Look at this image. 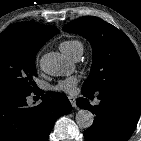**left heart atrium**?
Masks as SVG:
<instances>
[{"label":"left heart atrium","mask_w":141,"mask_h":141,"mask_svg":"<svg viewBox=\"0 0 141 141\" xmlns=\"http://www.w3.org/2000/svg\"><path fill=\"white\" fill-rule=\"evenodd\" d=\"M76 77H69L60 82L54 87L56 91L64 92L67 94H71L74 92L75 85L77 84Z\"/></svg>","instance_id":"1"}]
</instances>
